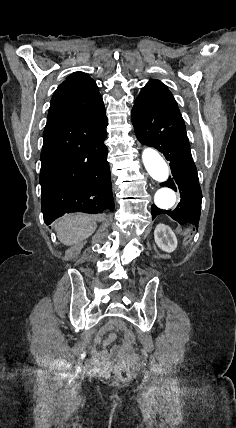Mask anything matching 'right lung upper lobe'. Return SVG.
<instances>
[{
	"label": "right lung upper lobe",
	"mask_w": 236,
	"mask_h": 428,
	"mask_svg": "<svg viewBox=\"0 0 236 428\" xmlns=\"http://www.w3.org/2000/svg\"><path fill=\"white\" fill-rule=\"evenodd\" d=\"M104 108L95 81L83 72H74L55 91L47 124L92 116Z\"/></svg>",
	"instance_id": "cb5924a9"
}]
</instances>
